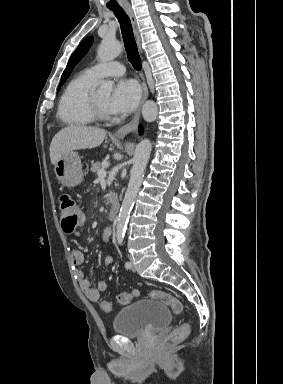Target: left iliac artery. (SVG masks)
<instances>
[{
	"label": "left iliac artery",
	"mask_w": 283,
	"mask_h": 384,
	"mask_svg": "<svg viewBox=\"0 0 283 384\" xmlns=\"http://www.w3.org/2000/svg\"><path fill=\"white\" fill-rule=\"evenodd\" d=\"M122 242H123V237H118V243L121 245ZM125 267H126L127 269H129V268L131 267V263H130V262H126V263H125Z\"/></svg>",
	"instance_id": "left-iliac-artery-1"
}]
</instances>
